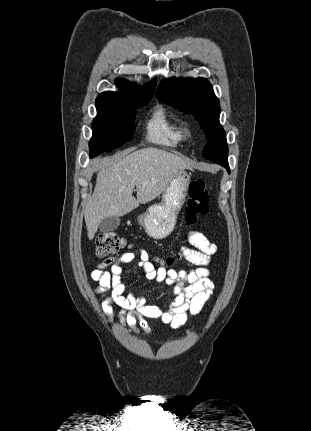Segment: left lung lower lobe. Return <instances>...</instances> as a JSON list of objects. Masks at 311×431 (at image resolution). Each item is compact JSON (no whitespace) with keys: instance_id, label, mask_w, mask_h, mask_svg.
I'll return each instance as SVG.
<instances>
[{"instance_id":"left-lung-lower-lobe-1","label":"left lung lower lobe","mask_w":311,"mask_h":431,"mask_svg":"<svg viewBox=\"0 0 311 431\" xmlns=\"http://www.w3.org/2000/svg\"><path fill=\"white\" fill-rule=\"evenodd\" d=\"M219 164L223 165L227 169V171L230 173L227 157L223 158Z\"/></svg>"}]
</instances>
